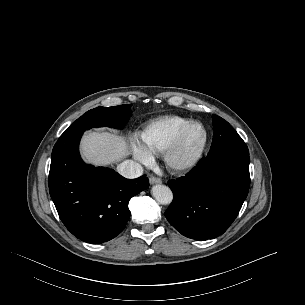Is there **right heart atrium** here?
Returning a JSON list of instances; mask_svg holds the SVG:
<instances>
[{
  "mask_svg": "<svg viewBox=\"0 0 305 305\" xmlns=\"http://www.w3.org/2000/svg\"><path fill=\"white\" fill-rule=\"evenodd\" d=\"M133 152L136 159L143 162L144 164H150L151 163V155L150 153L141 145L135 144L133 146Z\"/></svg>",
  "mask_w": 305,
  "mask_h": 305,
  "instance_id": "1",
  "label": "right heart atrium"
}]
</instances>
